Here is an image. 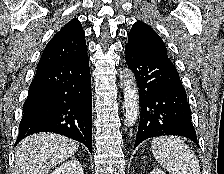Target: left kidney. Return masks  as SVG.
Wrapping results in <instances>:
<instances>
[{"mask_svg":"<svg viewBox=\"0 0 224 174\" xmlns=\"http://www.w3.org/2000/svg\"><path fill=\"white\" fill-rule=\"evenodd\" d=\"M150 174H165L164 171L154 168Z\"/></svg>","mask_w":224,"mask_h":174,"instance_id":"5707ae66","label":"left kidney"}]
</instances>
